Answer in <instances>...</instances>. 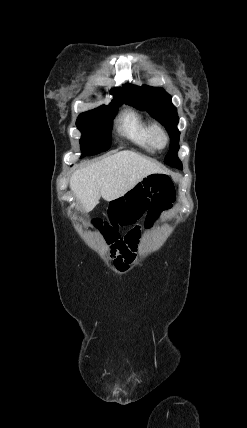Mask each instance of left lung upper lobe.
I'll list each match as a JSON object with an SVG mask.
<instances>
[{
    "label": "left lung upper lobe",
    "instance_id": "obj_1",
    "mask_svg": "<svg viewBox=\"0 0 247 428\" xmlns=\"http://www.w3.org/2000/svg\"><path fill=\"white\" fill-rule=\"evenodd\" d=\"M123 87L126 104L140 110H147L168 131L171 143L170 150L165 157V163L176 168L182 167L177 157L180 136V132L177 129L179 118L176 107L171 103V96L162 88L146 85L140 87L132 84H125Z\"/></svg>",
    "mask_w": 247,
    "mask_h": 428
}]
</instances>
